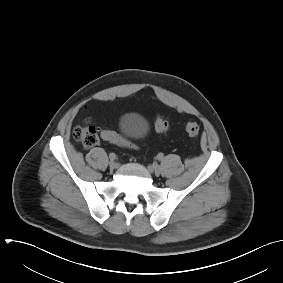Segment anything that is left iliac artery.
I'll list each match as a JSON object with an SVG mask.
<instances>
[{"instance_id":"44dca946","label":"left iliac artery","mask_w":283,"mask_h":283,"mask_svg":"<svg viewBox=\"0 0 283 283\" xmlns=\"http://www.w3.org/2000/svg\"><path fill=\"white\" fill-rule=\"evenodd\" d=\"M163 156H164V155H163L162 153H159L158 156H157V159H158V160H162V159H163Z\"/></svg>"}]
</instances>
